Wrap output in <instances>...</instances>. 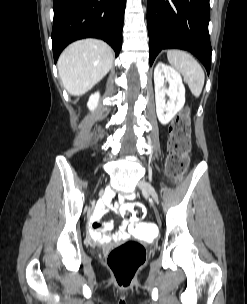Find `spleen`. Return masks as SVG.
I'll return each instance as SVG.
<instances>
[{
    "label": "spleen",
    "instance_id": "3e777b00",
    "mask_svg": "<svg viewBox=\"0 0 247 304\" xmlns=\"http://www.w3.org/2000/svg\"><path fill=\"white\" fill-rule=\"evenodd\" d=\"M169 63L184 77L191 93L199 97L205 81V75L200 64L187 52L172 49L167 52Z\"/></svg>",
    "mask_w": 247,
    "mask_h": 304
}]
</instances>
